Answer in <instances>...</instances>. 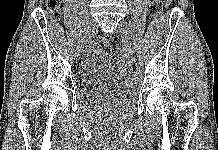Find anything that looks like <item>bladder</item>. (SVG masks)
I'll return each mask as SVG.
<instances>
[{
    "label": "bladder",
    "mask_w": 218,
    "mask_h": 150,
    "mask_svg": "<svg viewBox=\"0 0 218 150\" xmlns=\"http://www.w3.org/2000/svg\"><path fill=\"white\" fill-rule=\"evenodd\" d=\"M115 63L109 53L96 51L91 53L84 63L80 78L84 86L106 83L114 74Z\"/></svg>",
    "instance_id": "obj_1"
}]
</instances>
